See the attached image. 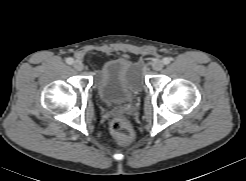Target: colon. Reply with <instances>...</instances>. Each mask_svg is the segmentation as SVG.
<instances>
[{"mask_svg":"<svg viewBox=\"0 0 246 181\" xmlns=\"http://www.w3.org/2000/svg\"><path fill=\"white\" fill-rule=\"evenodd\" d=\"M110 130L120 142H127L132 137V127L128 120L123 117L114 118L110 123Z\"/></svg>","mask_w":246,"mask_h":181,"instance_id":"colon-1","label":"colon"}]
</instances>
